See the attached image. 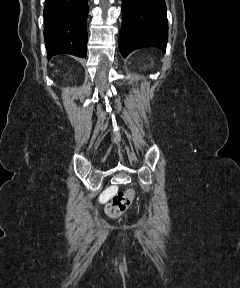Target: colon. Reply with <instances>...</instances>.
Segmentation results:
<instances>
[{"instance_id":"colon-1","label":"colon","mask_w":240,"mask_h":288,"mask_svg":"<svg viewBox=\"0 0 240 288\" xmlns=\"http://www.w3.org/2000/svg\"><path fill=\"white\" fill-rule=\"evenodd\" d=\"M134 191L127 189L116 194L106 207V212L110 217L120 216L132 203L134 199Z\"/></svg>"}]
</instances>
